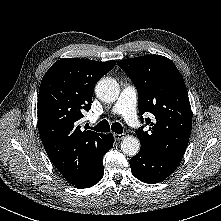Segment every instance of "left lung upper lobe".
<instances>
[{
  "label": "left lung upper lobe",
  "instance_id": "5c2ea615",
  "mask_svg": "<svg viewBox=\"0 0 221 221\" xmlns=\"http://www.w3.org/2000/svg\"><path fill=\"white\" fill-rule=\"evenodd\" d=\"M118 65L137 88L140 115L149 112L155 117L153 122L146 119L149 132L136 130L141 149L181 160L191 133L192 112L179 70L161 55L128 58Z\"/></svg>",
  "mask_w": 221,
  "mask_h": 221
}]
</instances>
